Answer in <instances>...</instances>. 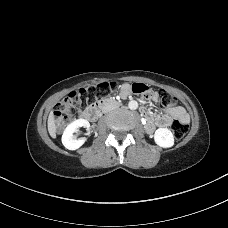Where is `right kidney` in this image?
<instances>
[{"mask_svg": "<svg viewBox=\"0 0 228 228\" xmlns=\"http://www.w3.org/2000/svg\"><path fill=\"white\" fill-rule=\"evenodd\" d=\"M79 127H90V123L86 119H77L73 122H71L64 130L62 135V144L65 146V148L69 150H76L80 148L85 140L84 139H76L73 135V133L79 128Z\"/></svg>", "mask_w": 228, "mask_h": 228, "instance_id": "right-kidney-1", "label": "right kidney"}]
</instances>
